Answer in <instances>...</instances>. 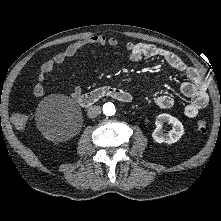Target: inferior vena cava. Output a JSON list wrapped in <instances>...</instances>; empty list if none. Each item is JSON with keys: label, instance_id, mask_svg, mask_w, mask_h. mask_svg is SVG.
Masks as SVG:
<instances>
[{"label": "inferior vena cava", "instance_id": "602c4592", "mask_svg": "<svg viewBox=\"0 0 221 221\" xmlns=\"http://www.w3.org/2000/svg\"><path fill=\"white\" fill-rule=\"evenodd\" d=\"M100 114H101V107L100 106L94 105V106H91L88 108L87 115L89 118H95Z\"/></svg>", "mask_w": 221, "mask_h": 221}]
</instances>
